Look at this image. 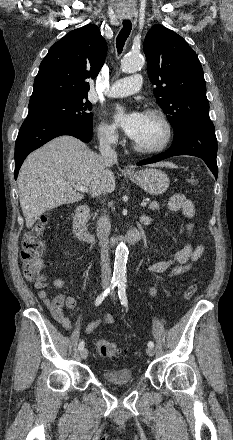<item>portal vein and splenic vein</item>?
Instances as JSON below:
<instances>
[{"instance_id":"obj_1","label":"portal vein and splenic vein","mask_w":233,"mask_h":440,"mask_svg":"<svg viewBox=\"0 0 233 440\" xmlns=\"http://www.w3.org/2000/svg\"><path fill=\"white\" fill-rule=\"evenodd\" d=\"M73 187H74L76 190L81 191V192H88V191H89L88 188L85 187V186H83V185H73ZM140 205H141L142 207H145V206L147 205V202H142Z\"/></svg>"}]
</instances>
